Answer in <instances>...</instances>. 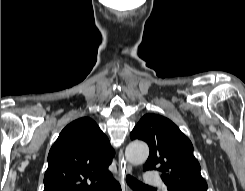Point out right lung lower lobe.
Returning a JSON list of instances; mask_svg holds the SVG:
<instances>
[{
  "label": "right lung lower lobe",
  "mask_w": 245,
  "mask_h": 191,
  "mask_svg": "<svg viewBox=\"0 0 245 191\" xmlns=\"http://www.w3.org/2000/svg\"><path fill=\"white\" fill-rule=\"evenodd\" d=\"M97 191H121V187L117 181L113 180L106 186L99 188Z\"/></svg>",
  "instance_id": "obj_1"
}]
</instances>
